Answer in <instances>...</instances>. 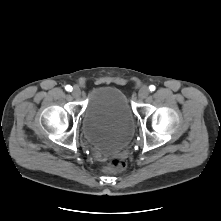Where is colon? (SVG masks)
<instances>
[{
    "label": "colon",
    "instance_id": "obj_1",
    "mask_svg": "<svg viewBox=\"0 0 221 221\" xmlns=\"http://www.w3.org/2000/svg\"><path fill=\"white\" fill-rule=\"evenodd\" d=\"M126 168V162L121 158H114L109 162L108 170L110 171H122Z\"/></svg>",
    "mask_w": 221,
    "mask_h": 221
}]
</instances>
